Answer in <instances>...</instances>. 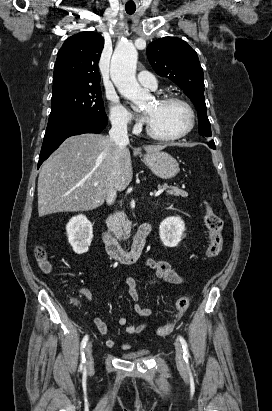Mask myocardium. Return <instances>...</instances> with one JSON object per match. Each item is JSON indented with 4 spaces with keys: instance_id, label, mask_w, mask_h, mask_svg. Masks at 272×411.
<instances>
[{
    "instance_id": "f54148a6",
    "label": "myocardium",
    "mask_w": 272,
    "mask_h": 411,
    "mask_svg": "<svg viewBox=\"0 0 272 411\" xmlns=\"http://www.w3.org/2000/svg\"><path fill=\"white\" fill-rule=\"evenodd\" d=\"M157 102L160 103H171V102H175V103H179L181 105H183L188 113H189V124L186 127L185 130H183L181 133L177 134V135H173V136H164V135H160L158 133H156L147 123L146 125V133L149 137H151L154 140L157 141H162V142H173V141H177L180 140L184 137H186L195 127V123H196V115H195V111L193 109V107L191 106V104L186 101L185 99L175 96V95H162L159 96L156 100Z\"/></svg>"
}]
</instances>
